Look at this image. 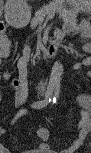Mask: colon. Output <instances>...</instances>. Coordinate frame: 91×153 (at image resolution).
Segmentation results:
<instances>
[{
    "mask_svg": "<svg viewBox=\"0 0 91 153\" xmlns=\"http://www.w3.org/2000/svg\"><path fill=\"white\" fill-rule=\"evenodd\" d=\"M0 41L2 43V46L9 45V43H10V39L4 34H1Z\"/></svg>",
    "mask_w": 91,
    "mask_h": 153,
    "instance_id": "colon-1",
    "label": "colon"
}]
</instances>
